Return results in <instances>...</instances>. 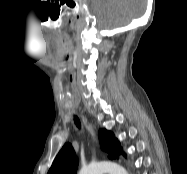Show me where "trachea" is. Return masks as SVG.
Listing matches in <instances>:
<instances>
[{
	"label": "trachea",
	"mask_w": 187,
	"mask_h": 174,
	"mask_svg": "<svg viewBox=\"0 0 187 174\" xmlns=\"http://www.w3.org/2000/svg\"><path fill=\"white\" fill-rule=\"evenodd\" d=\"M74 120H75L76 125L80 127V121L76 116L74 117Z\"/></svg>",
	"instance_id": "obj_1"
}]
</instances>
